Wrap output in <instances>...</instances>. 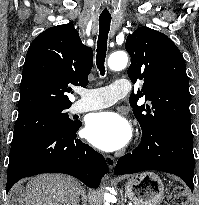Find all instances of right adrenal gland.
Masks as SVG:
<instances>
[{
	"label": "right adrenal gland",
	"instance_id": "1",
	"mask_svg": "<svg viewBox=\"0 0 199 205\" xmlns=\"http://www.w3.org/2000/svg\"><path fill=\"white\" fill-rule=\"evenodd\" d=\"M81 196H82V198H81L82 205H87V197H86L84 189H82V191H81Z\"/></svg>",
	"mask_w": 199,
	"mask_h": 205
}]
</instances>
